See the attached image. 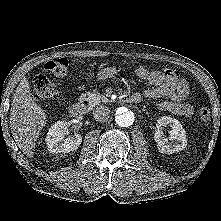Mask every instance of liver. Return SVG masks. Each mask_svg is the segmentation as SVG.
<instances>
[{"mask_svg":"<svg viewBox=\"0 0 221 221\" xmlns=\"http://www.w3.org/2000/svg\"><path fill=\"white\" fill-rule=\"evenodd\" d=\"M12 136L28 157H33L36 140L46 125V114L32 99L29 82L23 78L17 86L10 110Z\"/></svg>","mask_w":221,"mask_h":221,"instance_id":"liver-1","label":"liver"}]
</instances>
